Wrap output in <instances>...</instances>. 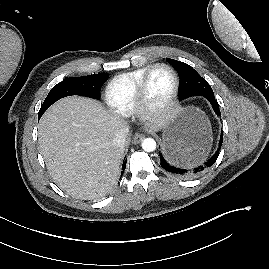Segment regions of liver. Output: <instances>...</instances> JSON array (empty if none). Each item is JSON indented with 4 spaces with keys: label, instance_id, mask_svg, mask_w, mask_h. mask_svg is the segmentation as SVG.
<instances>
[{
    "label": "liver",
    "instance_id": "obj_1",
    "mask_svg": "<svg viewBox=\"0 0 269 269\" xmlns=\"http://www.w3.org/2000/svg\"><path fill=\"white\" fill-rule=\"evenodd\" d=\"M168 117L158 118L151 130L163 129ZM126 123L100 102L66 97L52 105L39 125L40 151L54 182L79 199H96L117 183L124 147L112 140Z\"/></svg>",
    "mask_w": 269,
    "mask_h": 269
}]
</instances>
